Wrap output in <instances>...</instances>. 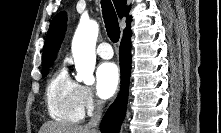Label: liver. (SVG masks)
<instances>
[{
    "mask_svg": "<svg viewBox=\"0 0 221 133\" xmlns=\"http://www.w3.org/2000/svg\"><path fill=\"white\" fill-rule=\"evenodd\" d=\"M39 133H92V131L86 126L49 121L42 125Z\"/></svg>",
    "mask_w": 221,
    "mask_h": 133,
    "instance_id": "liver-1",
    "label": "liver"
}]
</instances>
